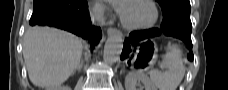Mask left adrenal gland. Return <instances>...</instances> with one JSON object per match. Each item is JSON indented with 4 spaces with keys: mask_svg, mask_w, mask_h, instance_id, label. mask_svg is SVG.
<instances>
[{
    "mask_svg": "<svg viewBox=\"0 0 228 90\" xmlns=\"http://www.w3.org/2000/svg\"><path fill=\"white\" fill-rule=\"evenodd\" d=\"M123 71H124V70H121L120 74H122Z\"/></svg>",
    "mask_w": 228,
    "mask_h": 90,
    "instance_id": "left-adrenal-gland-1",
    "label": "left adrenal gland"
}]
</instances>
